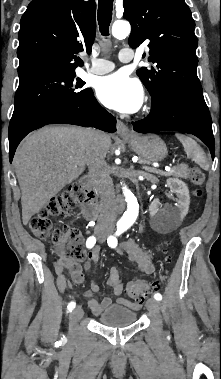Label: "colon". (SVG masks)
I'll return each mask as SVG.
<instances>
[{
  "label": "colon",
  "instance_id": "1",
  "mask_svg": "<svg viewBox=\"0 0 221 379\" xmlns=\"http://www.w3.org/2000/svg\"><path fill=\"white\" fill-rule=\"evenodd\" d=\"M187 176L195 187L194 195L200 196L202 192L199 187L204 182L203 172L197 167H190ZM84 197L83 188L80 185H73L66 192L44 205L29 222V228L36 237L51 238L60 245L62 265L69 260H83L86 257V252L83 248L82 237L77 229L68 226L56 228L53 226L51 218L70 213L83 201ZM156 287L155 283L138 279L128 284L127 293L135 301L142 302L146 295Z\"/></svg>",
  "mask_w": 221,
  "mask_h": 379
}]
</instances>
